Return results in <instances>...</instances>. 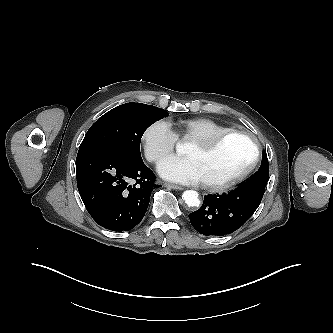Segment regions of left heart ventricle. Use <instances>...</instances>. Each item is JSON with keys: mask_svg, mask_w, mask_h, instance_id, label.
I'll return each instance as SVG.
<instances>
[{"mask_svg": "<svg viewBox=\"0 0 333 333\" xmlns=\"http://www.w3.org/2000/svg\"><path fill=\"white\" fill-rule=\"evenodd\" d=\"M185 155L192 158L202 182H220L240 172L252 157L250 143L243 137L231 136L211 151L190 143Z\"/></svg>", "mask_w": 333, "mask_h": 333, "instance_id": "left-heart-ventricle-1", "label": "left heart ventricle"}]
</instances>
